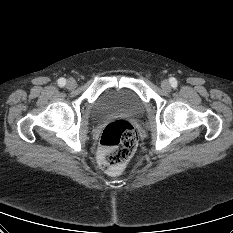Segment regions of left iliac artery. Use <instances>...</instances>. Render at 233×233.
I'll return each instance as SVG.
<instances>
[{"instance_id": "left-iliac-artery-1", "label": "left iliac artery", "mask_w": 233, "mask_h": 233, "mask_svg": "<svg viewBox=\"0 0 233 233\" xmlns=\"http://www.w3.org/2000/svg\"><path fill=\"white\" fill-rule=\"evenodd\" d=\"M171 85H172L173 88H176V87H177V81H176L175 78H172V79H171Z\"/></svg>"}]
</instances>
